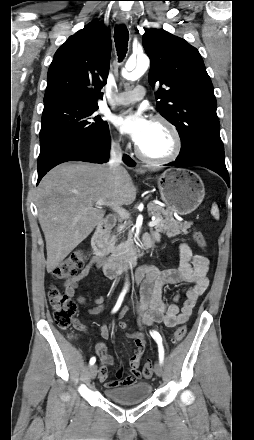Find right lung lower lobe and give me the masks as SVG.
I'll list each match as a JSON object with an SVG mask.
<instances>
[{
  "mask_svg": "<svg viewBox=\"0 0 254 440\" xmlns=\"http://www.w3.org/2000/svg\"><path fill=\"white\" fill-rule=\"evenodd\" d=\"M110 135L109 131L104 138L97 141L86 142L78 147L56 152L55 155L45 161V163L38 168V181L56 165L67 161H85L92 163H104L108 161L110 150ZM124 162L129 166H134L135 162L124 155Z\"/></svg>",
  "mask_w": 254,
  "mask_h": 440,
  "instance_id": "1",
  "label": "right lung lower lobe"
}]
</instances>
